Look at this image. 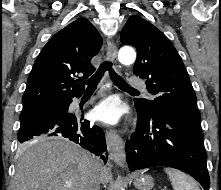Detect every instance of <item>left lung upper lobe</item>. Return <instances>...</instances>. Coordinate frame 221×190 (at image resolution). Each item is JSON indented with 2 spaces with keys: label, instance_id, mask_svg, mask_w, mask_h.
Wrapping results in <instances>:
<instances>
[{
  "label": "left lung upper lobe",
  "instance_id": "obj_1",
  "mask_svg": "<svg viewBox=\"0 0 221 190\" xmlns=\"http://www.w3.org/2000/svg\"><path fill=\"white\" fill-rule=\"evenodd\" d=\"M120 40L138 52L133 73L146 80L153 100L136 99L135 105L149 114H171L200 126L196 95L182 59L168 38L145 19L133 15Z\"/></svg>",
  "mask_w": 221,
  "mask_h": 190
}]
</instances>
